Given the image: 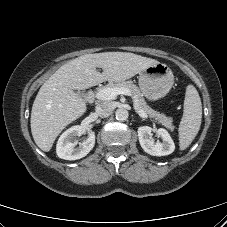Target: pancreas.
<instances>
[{"instance_id":"1","label":"pancreas","mask_w":227,"mask_h":227,"mask_svg":"<svg viewBox=\"0 0 227 227\" xmlns=\"http://www.w3.org/2000/svg\"><path fill=\"white\" fill-rule=\"evenodd\" d=\"M107 87L111 88H128L130 90L131 96L134 101V105L138 107V109L143 110L149 117L154 118L159 123H161L166 128L171 131L174 130L173 120L171 117H166L164 114H160L159 112L153 110L149 107L143 98V94L140 89L132 82V81H122L119 83H109Z\"/></svg>"}]
</instances>
